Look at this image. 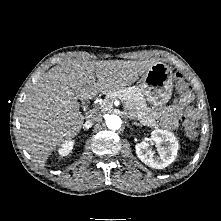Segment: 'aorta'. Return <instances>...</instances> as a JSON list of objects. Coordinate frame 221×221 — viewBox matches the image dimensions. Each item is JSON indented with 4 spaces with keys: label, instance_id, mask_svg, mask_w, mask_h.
Wrapping results in <instances>:
<instances>
[{
    "label": "aorta",
    "instance_id": "762f6f07",
    "mask_svg": "<svg viewBox=\"0 0 221 221\" xmlns=\"http://www.w3.org/2000/svg\"><path fill=\"white\" fill-rule=\"evenodd\" d=\"M106 125L109 129L116 130L122 125V120L118 115L112 114L107 116Z\"/></svg>",
    "mask_w": 221,
    "mask_h": 221
}]
</instances>
